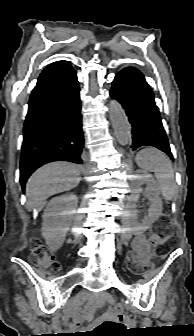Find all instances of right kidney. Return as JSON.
Returning a JSON list of instances; mask_svg holds the SVG:
<instances>
[{"mask_svg":"<svg viewBox=\"0 0 194 336\" xmlns=\"http://www.w3.org/2000/svg\"><path fill=\"white\" fill-rule=\"evenodd\" d=\"M77 204L78 198L74 194L55 197L47 204L41 231L50 250L56 251L64 243Z\"/></svg>","mask_w":194,"mask_h":336,"instance_id":"obj_1","label":"right kidney"}]
</instances>
